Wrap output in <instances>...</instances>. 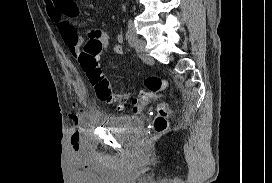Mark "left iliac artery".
<instances>
[{
  "mask_svg": "<svg viewBox=\"0 0 272 183\" xmlns=\"http://www.w3.org/2000/svg\"><path fill=\"white\" fill-rule=\"evenodd\" d=\"M127 38H128L129 45L133 47L137 39V32L133 24L128 25Z\"/></svg>",
  "mask_w": 272,
  "mask_h": 183,
  "instance_id": "left-iliac-artery-1",
  "label": "left iliac artery"
}]
</instances>
